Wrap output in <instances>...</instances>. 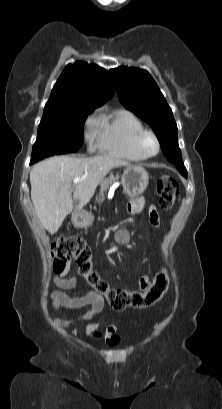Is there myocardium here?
Wrapping results in <instances>:
<instances>
[{"label":"myocardium","mask_w":222,"mask_h":409,"mask_svg":"<svg viewBox=\"0 0 222 409\" xmlns=\"http://www.w3.org/2000/svg\"><path fill=\"white\" fill-rule=\"evenodd\" d=\"M149 137L152 138L155 143V150L152 153H149L145 148V141ZM136 148L139 153L142 154L145 158H152L160 152L161 144L158 136L154 131L144 129L136 137Z\"/></svg>","instance_id":"1"}]
</instances>
